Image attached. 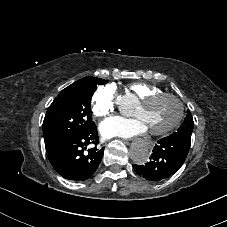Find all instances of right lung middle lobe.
<instances>
[{
	"label": "right lung middle lobe",
	"instance_id": "1",
	"mask_svg": "<svg viewBox=\"0 0 227 227\" xmlns=\"http://www.w3.org/2000/svg\"><path fill=\"white\" fill-rule=\"evenodd\" d=\"M108 81L85 77L63 89L49 106L43 121L45 146L92 128L90 102L97 85Z\"/></svg>",
	"mask_w": 227,
	"mask_h": 227
}]
</instances>
